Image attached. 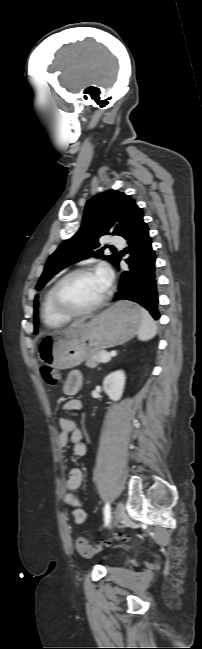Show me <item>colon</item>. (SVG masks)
I'll return each mask as SVG.
<instances>
[{
	"instance_id": "colon-1",
	"label": "colon",
	"mask_w": 202,
	"mask_h": 649,
	"mask_svg": "<svg viewBox=\"0 0 202 649\" xmlns=\"http://www.w3.org/2000/svg\"><path fill=\"white\" fill-rule=\"evenodd\" d=\"M40 374L44 382L48 385H56L60 381L59 372L50 366H42L40 369ZM76 548L80 555L89 558L96 554L102 548V546H93L84 538H78L76 540Z\"/></svg>"
}]
</instances>
